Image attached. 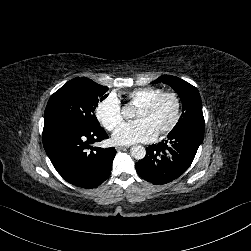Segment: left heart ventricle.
I'll return each mask as SVG.
<instances>
[{
    "label": "left heart ventricle",
    "instance_id": "left-heart-ventricle-1",
    "mask_svg": "<svg viewBox=\"0 0 251 251\" xmlns=\"http://www.w3.org/2000/svg\"><path fill=\"white\" fill-rule=\"evenodd\" d=\"M176 113V103L173 98H164L155 109L146 110L141 108L136 114V120L148 118L152 120L155 125L160 129L162 126L169 124Z\"/></svg>",
    "mask_w": 251,
    "mask_h": 251
}]
</instances>
